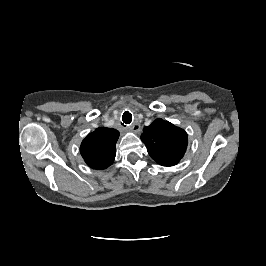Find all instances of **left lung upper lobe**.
Listing matches in <instances>:
<instances>
[{"mask_svg": "<svg viewBox=\"0 0 266 266\" xmlns=\"http://www.w3.org/2000/svg\"><path fill=\"white\" fill-rule=\"evenodd\" d=\"M141 140L149 155L162 166L176 165L184 156L188 144L187 133L183 129L161 118L144 127Z\"/></svg>", "mask_w": 266, "mask_h": 266, "instance_id": "5c2ea615", "label": "left lung upper lobe"}]
</instances>
